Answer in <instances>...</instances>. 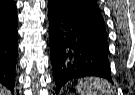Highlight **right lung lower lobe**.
<instances>
[{"mask_svg": "<svg viewBox=\"0 0 135 95\" xmlns=\"http://www.w3.org/2000/svg\"><path fill=\"white\" fill-rule=\"evenodd\" d=\"M17 57V17H0V83L13 91Z\"/></svg>", "mask_w": 135, "mask_h": 95, "instance_id": "right-lung-lower-lobe-1", "label": "right lung lower lobe"}]
</instances>
